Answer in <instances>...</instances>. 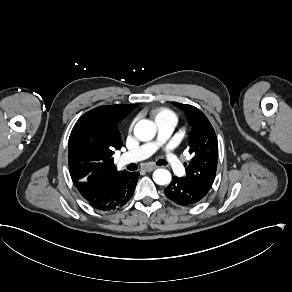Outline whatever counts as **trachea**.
<instances>
[{
  "label": "trachea",
  "mask_w": 292,
  "mask_h": 292,
  "mask_svg": "<svg viewBox=\"0 0 292 292\" xmlns=\"http://www.w3.org/2000/svg\"><path fill=\"white\" fill-rule=\"evenodd\" d=\"M166 164H167V162L165 160H159L157 162V165H166ZM137 168H138V166L134 163H131L127 166L128 170H136Z\"/></svg>",
  "instance_id": "1"
}]
</instances>
